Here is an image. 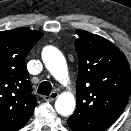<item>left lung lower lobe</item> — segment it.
<instances>
[{
  "mask_svg": "<svg viewBox=\"0 0 131 131\" xmlns=\"http://www.w3.org/2000/svg\"><path fill=\"white\" fill-rule=\"evenodd\" d=\"M68 125L73 131H87L83 126L74 120L68 119Z\"/></svg>",
  "mask_w": 131,
  "mask_h": 131,
  "instance_id": "left-lung-lower-lobe-1",
  "label": "left lung lower lobe"
}]
</instances>
